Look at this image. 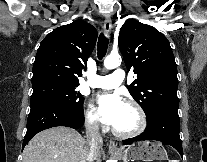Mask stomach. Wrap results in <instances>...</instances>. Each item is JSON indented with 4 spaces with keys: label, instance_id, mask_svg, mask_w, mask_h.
I'll return each instance as SVG.
<instances>
[{
    "label": "stomach",
    "instance_id": "obj_1",
    "mask_svg": "<svg viewBox=\"0 0 207 162\" xmlns=\"http://www.w3.org/2000/svg\"><path fill=\"white\" fill-rule=\"evenodd\" d=\"M118 157L124 162L140 160L152 162L154 160H167L168 155L161 143L143 141L129 145L126 149H121Z\"/></svg>",
    "mask_w": 207,
    "mask_h": 162
}]
</instances>
